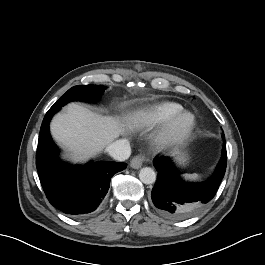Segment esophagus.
Wrapping results in <instances>:
<instances>
[{"label":"esophagus","instance_id":"obj_1","mask_svg":"<svg viewBox=\"0 0 265 265\" xmlns=\"http://www.w3.org/2000/svg\"><path fill=\"white\" fill-rule=\"evenodd\" d=\"M144 161H145L144 156L137 155V156L133 157L132 160L130 161V166L133 169H139L142 167Z\"/></svg>","mask_w":265,"mask_h":265}]
</instances>
